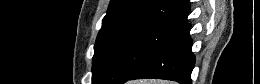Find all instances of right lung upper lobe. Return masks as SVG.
<instances>
[{
  "instance_id": "1",
  "label": "right lung upper lobe",
  "mask_w": 260,
  "mask_h": 84,
  "mask_svg": "<svg viewBox=\"0 0 260 84\" xmlns=\"http://www.w3.org/2000/svg\"><path fill=\"white\" fill-rule=\"evenodd\" d=\"M189 9V0H111L97 40L138 24L179 28Z\"/></svg>"
}]
</instances>
